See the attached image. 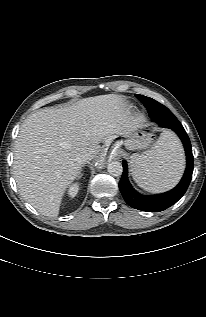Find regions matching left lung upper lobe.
<instances>
[{"label":"left lung upper lobe","instance_id":"obj_1","mask_svg":"<svg viewBox=\"0 0 206 317\" xmlns=\"http://www.w3.org/2000/svg\"><path fill=\"white\" fill-rule=\"evenodd\" d=\"M135 96L139 99V101H141L144 104L145 107H146V104L153 105L151 103H159L150 97H146V96L139 95V94H136ZM153 121L157 122L155 119H153Z\"/></svg>","mask_w":206,"mask_h":317}]
</instances>
